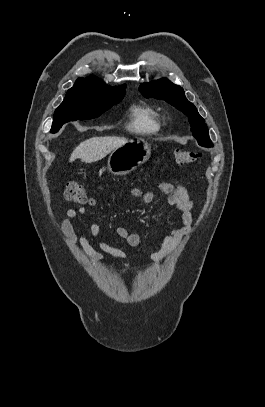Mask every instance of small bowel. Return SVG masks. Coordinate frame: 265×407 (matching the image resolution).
Instances as JSON below:
<instances>
[{
	"mask_svg": "<svg viewBox=\"0 0 265 407\" xmlns=\"http://www.w3.org/2000/svg\"><path fill=\"white\" fill-rule=\"evenodd\" d=\"M159 190L166 195L167 204L180 212L181 225L171 227L169 234L163 239L160 249L149 255L150 259L156 262H160L168 257L181 240L191 233L193 223L191 213L192 202L183 185L164 181L159 184ZM131 195L144 203H150L154 197L153 192L142 191L139 188H133ZM86 213L87 210L84 207L78 210L68 209L66 211V218L62 221L61 229L70 244L76 249L83 251L95 262L102 261L105 255L119 259L125 258L126 255L122 250L99 239L101 227L97 222L91 223L89 228L91 235L97 241V248H95L82 231L75 226L78 216L85 215ZM116 233L131 246H139L143 243L142 235L131 231L127 227L119 226L116 229Z\"/></svg>",
	"mask_w": 265,
	"mask_h": 407,
	"instance_id": "c3829d8e",
	"label": "small bowel"
}]
</instances>
